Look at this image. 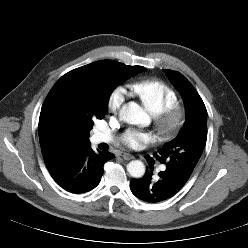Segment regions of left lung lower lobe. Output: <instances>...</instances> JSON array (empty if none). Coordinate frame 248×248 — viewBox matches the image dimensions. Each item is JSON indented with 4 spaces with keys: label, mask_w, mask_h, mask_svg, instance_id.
<instances>
[{
    "label": "left lung lower lobe",
    "mask_w": 248,
    "mask_h": 248,
    "mask_svg": "<svg viewBox=\"0 0 248 248\" xmlns=\"http://www.w3.org/2000/svg\"><path fill=\"white\" fill-rule=\"evenodd\" d=\"M156 179L152 177V170H146L141 179H132L130 189L140 200L148 203H157L167 200L178 193L184 186L168 170L159 172Z\"/></svg>",
    "instance_id": "obj_1"
}]
</instances>
